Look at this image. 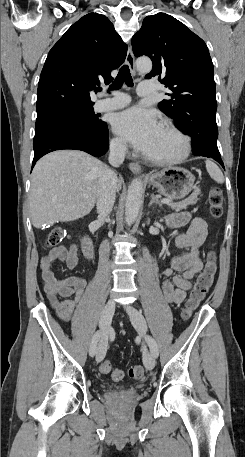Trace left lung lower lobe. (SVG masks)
<instances>
[{
  "label": "left lung lower lobe",
  "mask_w": 245,
  "mask_h": 457,
  "mask_svg": "<svg viewBox=\"0 0 245 457\" xmlns=\"http://www.w3.org/2000/svg\"><path fill=\"white\" fill-rule=\"evenodd\" d=\"M177 128L191 136L195 156L213 158L224 168L216 142L218 129L215 114L205 112L190 116Z\"/></svg>",
  "instance_id": "obj_1"
}]
</instances>
